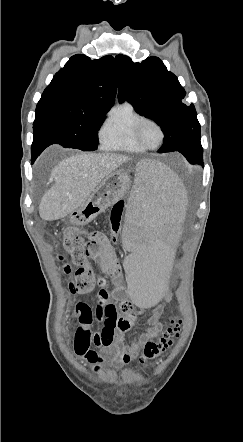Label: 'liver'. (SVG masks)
I'll return each mask as SVG.
<instances>
[{
	"mask_svg": "<svg viewBox=\"0 0 243 442\" xmlns=\"http://www.w3.org/2000/svg\"><path fill=\"white\" fill-rule=\"evenodd\" d=\"M129 157L115 153H81L59 162L51 173L55 180L42 197L40 217L53 221L66 217L96 190L100 183Z\"/></svg>",
	"mask_w": 243,
	"mask_h": 442,
	"instance_id": "liver-1",
	"label": "liver"
}]
</instances>
